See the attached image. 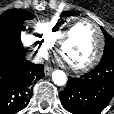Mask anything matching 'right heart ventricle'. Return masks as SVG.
<instances>
[{
	"label": "right heart ventricle",
	"instance_id": "1",
	"mask_svg": "<svg viewBox=\"0 0 114 114\" xmlns=\"http://www.w3.org/2000/svg\"><path fill=\"white\" fill-rule=\"evenodd\" d=\"M76 19V16H55L38 23L33 34L46 48H52L67 26Z\"/></svg>",
	"mask_w": 114,
	"mask_h": 114
}]
</instances>
